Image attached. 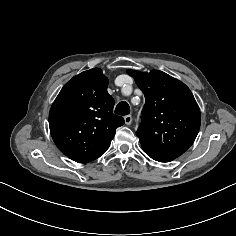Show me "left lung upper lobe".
<instances>
[{
  "label": "left lung upper lobe",
  "instance_id": "1",
  "mask_svg": "<svg viewBox=\"0 0 236 236\" xmlns=\"http://www.w3.org/2000/svg\"><path fill=\"white\" fill-rule=\"evenodd\" d=\"M127 73L145 95L142 123L136 132L142 148L183 154L193 144L201 122L190 89L162 71Z\"/></svg>",
  "mask_w": 236,
  "mask_h": 236
}]
</instances>
